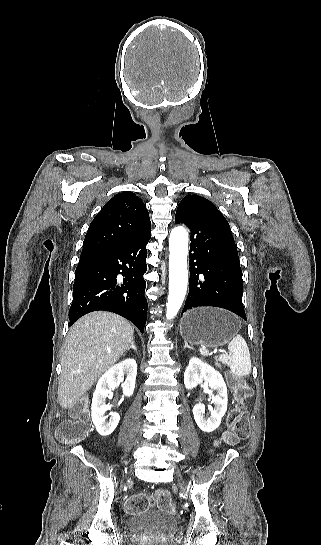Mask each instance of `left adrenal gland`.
Segmentation results:
<instances>
[{
	"instance_id": "left-adrenal-gland-1",
	"label": "left adrenal gland",
	"mask_w": 321,
	"mask_h": 545,
	"mask_svg": "<svg viewBox=\"0 0 321 545\" xmlns=\"http://www.w3.org/2000/svg\"><path fill=\"white\" fill-rule=\"evenodd\" d=\"M184 349H192V347H189L188 343L185 341Z\"/></svg>"
}]
</instances>
